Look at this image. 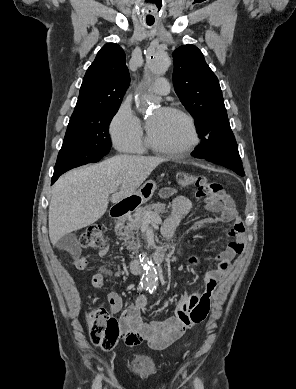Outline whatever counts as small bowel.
Masks as SVG:
<instances>
[{
    "label": "small bowel",
    "instance_id": "obj_1",
    "mask_svg": "<svg viewBox=\"0 0 296 389\" xmlns=\"http://www.w3.org/2000/svg\"><path fill=\"white\" fill-rule=\"evenodd\" d=\"M174 190L165 188L162 190V196H170ZM209 210L218 211L216 217L195 221L191 228L197 230L204 224L208 223H229L233 226L227 229V235L233 240L223 246L222 250L216 256L217 267L208 271L203 279V290L200 294L182 296L175 307L174 313L164 320L144 321L142 312L146 306V296L137 297L135 304L124 309L120 316L121 336L129 346L139 345L147 342L154 350H163L177 341L183 334L192 328L196 323L191 320L194 312L205 311L208 313L210 301L218 282L226 278L230 272L231 260L244 249L245 236L244 224L242 219L237 215L234 204L225 197L224 201L216 206H207ZM193 206L192 202L183 196L176 197L172 202L171 213L162 227V236L170 238L177 227L178 220L181 216L190 215ZM105 249L100 251L104 254ZM199 263L198 257H191L190 266ZM75 266L78 270L83 271L87 268V260L84 256H78L75 260ZM107 271L104 269L98 271L92 276L91 284L97 290L105 289V277ZM107 300L112 313H118L122 309V298L114 292L108 291Z\"/></svg>",
    "mask_w": 296,
    "mask_h": 389
}]
</instances>
